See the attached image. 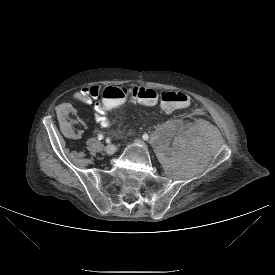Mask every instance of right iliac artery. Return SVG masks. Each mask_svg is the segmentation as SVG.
<instances>
[{
	"label": "right iliac artery",
	"instance_id": "obj_1",
	"mask_svg": "<svg viewBox=\"0 0 275 275\" xmlns=\"http://www.w3.org/2000/svg\"><path fill=\"white\" fill-rule=\"evenodd\" d=\"M103 138H104V136H103L102 134H99V135H98V139H99V140H102ZM107 142H109V140H107Z\"/></svg>",
	"mask_w": 275,
	"mask_h": 275
}]
</instances>
